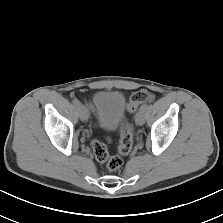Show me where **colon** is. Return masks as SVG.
<instances>
[{"label": "colon", "mask_w": 223, "mask_h": 223, "mask_svg": "<svg viewBox=\"0 0 223 223\" xmlns=\"http://www.w3.org/2000/svg\"><path fill=\"white\" fill-rule=\"evenodd\" d=\"M152 100V94L148 90H139L130 96L127 109L130 112H135L137 108L144 102ZM133 145L132 128L126 120H123L120 126V144L118 155L110 156L106 145L98 140L92 142V150L95 158L99 162L106 164L109 171H117L122 166L121 156L127 155Z\"/></svg>", "instance_id": "obj_1"}]
</instances>
